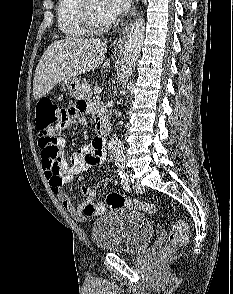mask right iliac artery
<instances>
[{
    "instance_id": "right-iliac-artery-1",
    "label": "right iliac artery",
    "mask_w": 233,
    "mask_h": 294,
    "mask_svg": "<svg viewBox=\"0 0 233 294\" xmlns=\"http://www.w3.org/2000/svg\"><path fill=\"white\" fill-rule=\"evenodd\" d=\"M117 165H118V167L120 166V164H119V163H118V164L116 163V166H117Z\"/></svg>"
}]
</instances>
